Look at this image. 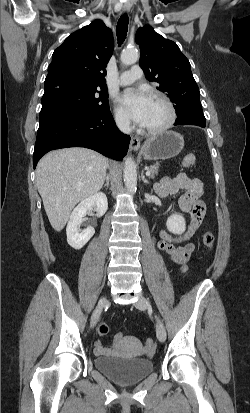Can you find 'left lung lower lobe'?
Segmentation results:
<instances>
[{
	"instance_id": "1",
	"label": "left lung lower lobe",
	"mask_w": 250,
	"mask_h": 413,
	"mask_svg": "<svg viewBox=\"0 0 250 413\" xmlns=\"http://www.w3.org/2000/svg\"><path fill=\"white\" fill-rule=\"evenodd\" d=\"M178 118L174 125H197L205 127V117L203 115L200 102L179 105L176 108Z\"/></svg>"
}]
</instances>
